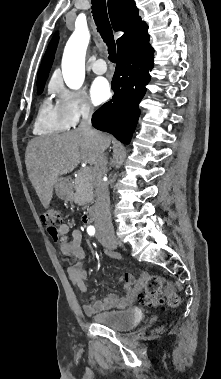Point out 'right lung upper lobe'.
Wrapping results in <instances>:
<instances>
[{"label":"right lung upper lobe","mask_w":221,"mask_h":379,"mask_svg":"<svg viewBox=\"0 0 221 379\" xmlns=\"http://www.w3.org/2000/svg\"><path fill=\"white\" fill-rule=\"evenodd\" d=\"M108 10L113 29L115 31L125 32L117 40L118 48L125 45L148 28L147 24L139 17V10L133 0H108ZM57 43L58 34L56 33L47 48L39 68L37 87L44 86L54 59Z\"/></svg>","instance_id":"right-lung-upper-lobe-1"}]
</instances>
